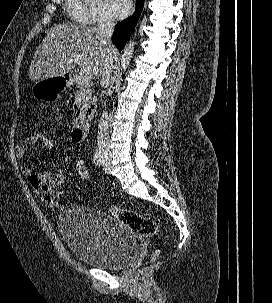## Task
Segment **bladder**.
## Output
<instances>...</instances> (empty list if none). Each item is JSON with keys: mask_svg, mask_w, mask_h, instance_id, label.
I'll return each instance as SVG.
<instances>
[{"mask_svg": "<svg viewBox=\"0 0 272 303\" xmlns=\"http://www.w3.org/2000/svg\"><path fill=\"white\" fill-rule=\"evenodd\" d=\"M57 224L70 251L85 264L120 269L129 265L139 252L135 232L104 211L69 204L61 208Z\"/></svg>", "mask_w": 272, "mask_h": 303, "instance_id": "1", "label": "bladder"}]
</instances>
